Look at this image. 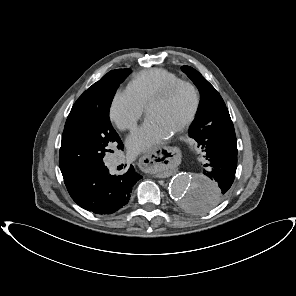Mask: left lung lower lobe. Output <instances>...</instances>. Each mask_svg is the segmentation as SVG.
I'll return each instance as SVG.
<instances>
[{
	"mask_svg": "<svg viewBox=\"0 0 296 296\" xmlns=\"http://www.w3.org/2000/svg\"><path fill=\"white\" fill-rule=\"evenodd\" d=\"M200 136L202 137L199 146L205 152L207 160L204 165L207 168L203 174L212 181H216L218 188L200 198H195L190 207L196 211L213 207L228 194L237 168V140L228 110L204 127Z\"/></svg>",
	"mask_w": 296,
	"mask_h": 296,
	"instance_id": "left-lung-lower-lobe-1",
	"label": "left lung lower lobe"
}]
</instances>
